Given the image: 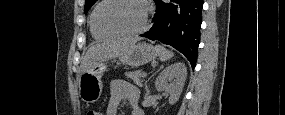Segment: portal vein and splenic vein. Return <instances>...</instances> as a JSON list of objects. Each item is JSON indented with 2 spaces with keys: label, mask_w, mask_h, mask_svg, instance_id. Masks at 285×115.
Returning <instances> with one entry per match:
<instances>
[{
  "label": "portal vein and splenic vein",
  "mask_w": 285,
  "mask_h": 115,
  "mask_svg": "<svg viewBox=\"0 0 285 115\" xmlns=\"http://www.w3.org/2000/svg\"><path fill=\"white\" fill-rule=\"evenodd\" d=\"M147 76V73L146 72H143L142 73V77H146Z\"/></svg>",
  "instance_id": "18ae733b"
}]
</instances>
